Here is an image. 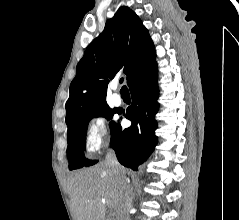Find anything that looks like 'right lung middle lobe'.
I'll use <instances>...</instances> for the list:
<instances>
[{
  "label": "right lung middle lobe",
  "instance_id": "right-lung-middle-lobe-1",
  "mask_svg": "<svg viewBox=\"0 0 239 220\" xmlns=\"http://www.w3.org/2000/svg\"><path fill=\"white\" fill-rule=\"evenodd\" d=\"M113 115L114 111L107 105L79 117L70 127H68L67 157L70 170L82 168L84 166H91L97 163V160H88L84 156V150L86 149L87 125L93 117H106L111 120ZM115 125L116 123L114 121L109 123L111 133Z\"/></svg>",
  "mask_w": 239,
  "mask_h": 220
}]
</instances>
